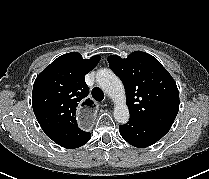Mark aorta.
I'll return each instance as SVG.
<instances>
[{"label":"aorta","mask_w":209,"mask_h":179,"mask_svg":"<svg viewBox=\"0 0 209 179\" xmlns=\"http://www.w3.org/2000/svg\"><path fill=\"white\" fill-rule=\"evenodd\" d=\"M98 86L114 101V118L120 124L129 120V110L126 105L125 89L122 81L110 70L100 69L96 73Z\"/></svg>","instance_id":"1"}]
</instances>
